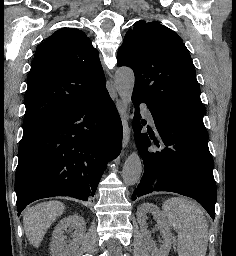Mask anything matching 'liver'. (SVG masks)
<instances>
[{
    "mask_svg": "<svg viewBox=\"0 0 236 256\" xmlns=\"http://www.w3.org/2000/svg\"><path fill=\"white\" fill-rule=\"evenodd\" d=\"M65 210L62 202H42L28 208L23 214V226L29 244L39 248L51 224L61 216Z\"/></svg>",
    "mask_w": 236,
    "mask_h": 256,
    "instance_id": "obj_1",
    "label": "liver"
}]
</instances>
